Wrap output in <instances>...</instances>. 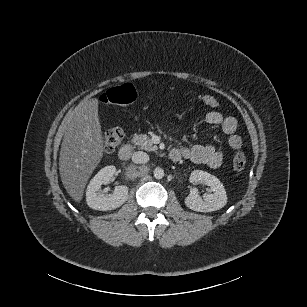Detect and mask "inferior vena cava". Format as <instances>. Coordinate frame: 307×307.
<instances>
[{"mask_svg":"<svg viewBox=\"0 0 307 307\" xmlns=\"http://www.w3.org/2000/svg\"><path fill=\"white\" fill-rule=\"evenodd\" d=\"M132 161L135 164H145L149 161V156L145 152L137 151L133 154Z\"/></svg>","mask_w":307,"mask_h":307,"instance_id":"602c4592","label":"inferior vena cava"}]
</instances>
